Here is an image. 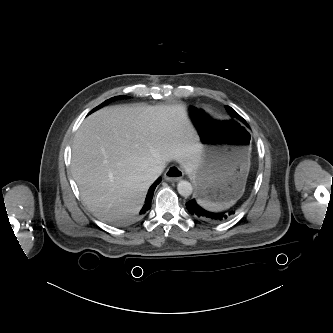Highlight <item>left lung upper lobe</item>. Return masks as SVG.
Instances as JSON below:
<instances>
[{
  "mask_svg": "<svg viewBox=\"0 0 333 333\" xmlns=\"http://www.w3.org/2000/svg\"><path fill=\"white\" fill-rule=\"evenodd\" d=\"M226 109L228 111V113L231 115V117H233V119H238L240 122L246 124L248 126V124L246 123V121L231 107L226 106Z\"/></svg>",
  "mask_w": 333,
  "mask_h": 333,
  "instance_id": "1",
  "label": "left lung upper lobe"
}]
</instances>
